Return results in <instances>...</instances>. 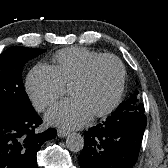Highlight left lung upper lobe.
I'll use <instances>...</instances> for the list:
<instances>
[{"label": "left lung upper lobe", "instance_id": "5c2ea615", "mask_svg": "<svg viewBox=\"0 0 168 168\" xmlns=\"http://www.w3.org/2000/svg\"><path fill=\"white\" fill-rule=\"evenodd\" d=\"M138 91L135 90L133 94L130 95V98L126 101L120 104V106H140L142 103L138 100Z\"/></svg>", "mask_w": 168, "mask_h": 168}]
</instances>
